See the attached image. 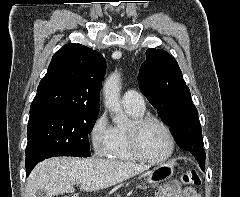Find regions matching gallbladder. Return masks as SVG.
<instances>
[{"mask_svg":"<svg viewBox=\"0 0 240 197\" xmlns=\"http://www.w3.org/2000/svg\"><path fill=\"white\" fill-rule=\"evenodd\" d=\"M36 197H49V195L45 190L39 189L36 192Z\"/></svg>","mask_w":240,"mask_h":197,"instance_id":"obj_1","label":"gallbladder"}]
</instances>
